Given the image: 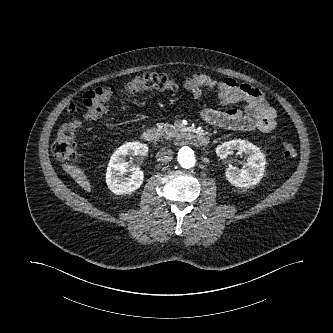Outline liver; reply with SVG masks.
I'll return each instance as SVG.
<instances>
[{
    "label": "liver",
    "instance_id": "liver-1",
    "mask_svg": "<svg viewBox=\"0 0 333 333\" xmlns=\"http://www.w3.org/2000/svg\"><path fill=\"white\" fill-rule=\"evenodd\" d=\"M72 178L87 192H91V185L86 175L80 168L70 167L68 169Z\"/></svg>",
    "mask_w": 333,
    "mask_h": 333
}]
</instances>
